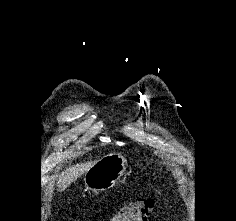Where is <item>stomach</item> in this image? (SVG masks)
Returning <instances> with one entry per match:
<instances>
[{"label":"stomach","mask_w":236,"mask_h":221,"mask_svg":"<svg viewBox=\"0 0 236 221\" xmlns=\"http://www.w3.org/2000/svg\"><path fill=\"white\" fill-rule=\"evenodd\" d=\"M126 165V159L119 153L105 155L84 174L86 188L100 192L113 187L126 170Z\"/></svg>","instance_id":"obj_1"}]
</instances>
